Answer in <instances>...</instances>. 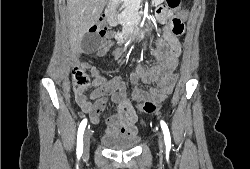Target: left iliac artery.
Masks as SVG:
<instances>
[{
  "label": "left iliac artery",
  "mask_w": 250,
  "mask_h": 169,
  "mask_svg": "<svg viewBox=\"0 0 250 169\" xmlns=\"http://www.w3.org/2000/svg\"><path fill=\"white\" fill-rule=\"evenodd\" d=\"M161 128L164 134V141H165V145H166V151H170L171 149V137H170V132L168 129L167 124L161 120Z\"/></svg>",
  "instance_id": "left-iliac-artery-1"
}]
</instances>
